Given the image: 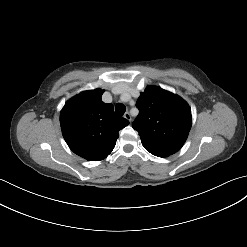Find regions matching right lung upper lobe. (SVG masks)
<instances>
[{
  "label": "right lung upper lobe",
  "mask_w": 247,
  "mask_h": 247,
  "mask_svg": "<svg viewBox=\"0 0 247 247\" xmlns=\"http://www.w3.org/2000/svg\"><path fill=\"white\" fill-rule=\"evenodd\" d=\"M104 90L84 91L63 107L60 125L69 148L88 161L105 159L114 149L118 132L129 124L102 102Z\"/></svg>",
  "instance_id": "1"
}]
</instances>
